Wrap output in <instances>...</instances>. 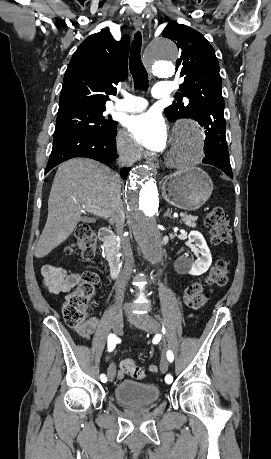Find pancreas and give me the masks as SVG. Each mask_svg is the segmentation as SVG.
<instances>
[{
  "label": "pancreas",
  "mask_w": 271,
  "mask_h": 459,
  "mask_svg": "<svg viewBox=\"0 0 271 459\" xmlns=\"http://www.w3.org/2000/svg\"><path fill=\"white\" fill-rule=\"evenodd\" d=\"M183 222H185L186 226H190V228H195L196 224V220H197V216H186L185 214V217H181Z\"/></svg>",
  "instance_id": "obj_1"
}]
</instances>
